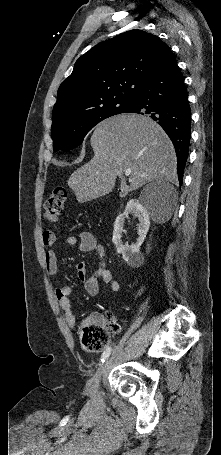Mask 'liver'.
<instances>
[{
    "instance_id": "1",
    "label": "liver",
    "mask_w": 221,
    "mask_h": 455,
    "mask_svg": "<svg viewBox=\"0 0 221 455\" xmlns=\"http://www.w3.org/2000/svg\"><path fill=\"white\" fill-rule=\"evenodd\" d=\"M94 157L68 180L79 203L109 194L120 179V197L153 180L177 181L176 155L164 130L151 118L119 114L97 125L91 140ZM130 170V177L124 176Z\"/></svg>"
}]
</instances>
